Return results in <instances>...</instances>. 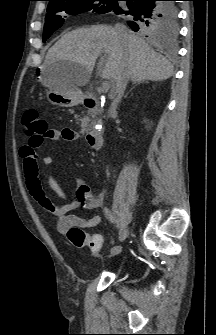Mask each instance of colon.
Segmentation results:
<instances>
[{"instance_id": "5ec220e1", "label": "colon", "mask_w": 216, "mask_h": 335, "mask_svg": "<svg viewBox=\"0 0 216 335\" xmlns=\"http://www.w3.org/2000/svg\"><path fill=\"white\" fill-rule=\"evenodd\" d=\"M24 135L29 139L31 149L39 148L47 135L48 123L36 110H28L23 115ZM69 242L76 248H89L97 252L102 246V239L90 236L79 227H72L67 232Z\"/></svg>"}]
</instances>
